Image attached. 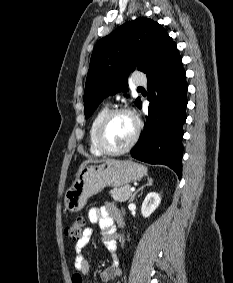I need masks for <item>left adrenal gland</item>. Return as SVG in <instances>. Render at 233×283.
I'll use <instances>...</instances> for the list:
<instances>
[{"label":"left adrenal gland","mask_w":233,"mask_h":283,"mask_svg":"<svg viewBox=\"0 0 233 283\" xmlns=\"http://www.w3.org/2000/svg\"><path fill=\"white\" fill-rule=\"evenodd\" d=\"M152 183H153V180L152 179H148V182H147V184L146 185H143V186H141L134 194H133V196L131 197V200H130V202H132L133 200H134V198H135V196H136V194L139 192V191H142L146 186H151L152 185Z\"/></svg>","instance_id":"a2214340"}]
</instances>
